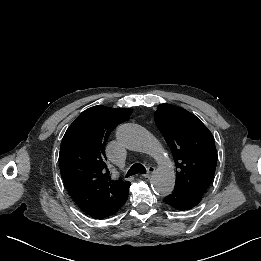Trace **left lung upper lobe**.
<instances>
[{"label":"left lung upper lobe","instance_id":"1","mask_svg":"<svg viewBox=\"0 0 261 261\" xmlns=\"http://www.w3.org/2000/svg\"><path fill=\"white\" fill-rule=\"evenodd\" d=\"M157 127L169 145L177 168L175 187L202 197L217 164V151L208 128L185 109L160 104L155 112Z\"/></svg>","mask_w":261,"mask_h":261}]
</instances>
